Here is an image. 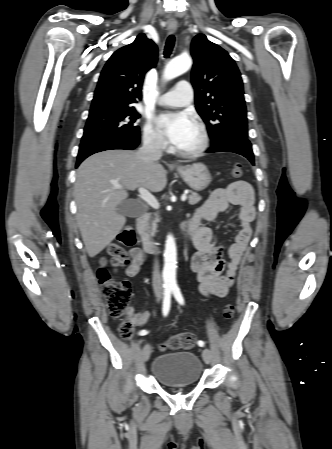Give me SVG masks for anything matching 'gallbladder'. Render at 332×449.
Here are the masks:
<instances>
[{"label":"gallbladder","mask_w":332,"mask_h":449,"mask_svg":"<svg viewBox=\"0 0 332 449\" xmlns=\"http://www.w3.org/2000/svg\"><path fill=\"white\" fill-rule=\"evenodd\" d=\"M117 211L126 216V217H138L143 213V209L139 206V204L132 200L123 201L117 208Z\"/></svg>","instance_id":"gallbladder-1"}]
</instances>
